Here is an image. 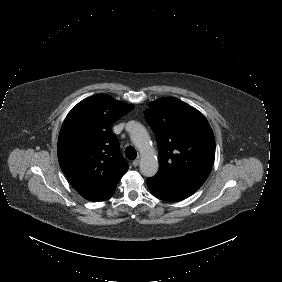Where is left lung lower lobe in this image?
Instances as JSON below:
<instances>
[{"mask_svg": "<svg viewBox=\"0 0 282 282\" xmlns=\"http://www.w3.org/2000/svg\"><path fill=\"white\" fill-rule=\"evenodd\" d=\"M205 180L185 176L156 174L147 179L151 193L164 201H181L196 192Z\"/></svg>", "mask_w": 282, "mask_h": 282, "instance_id": "left-lung-lower-lobe-1", "label": "left lung lower lobe"}]
</instances>
